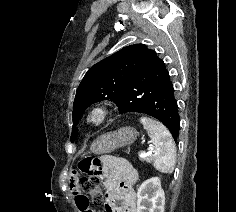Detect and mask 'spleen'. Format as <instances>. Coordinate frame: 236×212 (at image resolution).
Segmentation results:
<instances>
[{
    "label": "spleen",
    "mask_w": 236,
    "mask_h": 212,
    "mask_svg": "<svg viewBox=\"0 0 236 212\" xmlns=\"http://www.w3.org/2000/svg\"><path fill=\"white\" fill-rule=\"evenodd\" d=\"M140 122L148 132L154 149L153 166L162 173H172L176 163V148L171 133L152 118L141 117Z\"/></svg>",
    "instance_id": "1"
}]
</instances>
